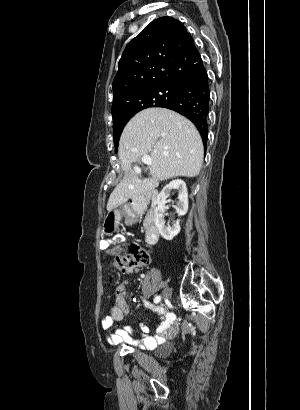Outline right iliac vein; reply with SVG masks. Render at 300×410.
Instances as JSON below:
<instances>
[{"mask_svg": "<svg viewBox=\"0 0 300 410\" xmlns=\"http://www.w3.org/2000/svg\"><path fill=\"white\" fill-rule=\"evenodd\" d=\"M170 296H171V291H170V289H165V290L163 291V298H164V299H168Z\"/></svg>", "mask_w": 300, "mask_h": 410, "instance_id": "1", "label": "right iliac vein"}]
</instances>
